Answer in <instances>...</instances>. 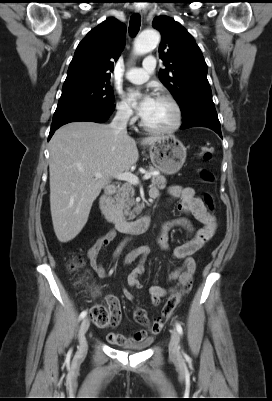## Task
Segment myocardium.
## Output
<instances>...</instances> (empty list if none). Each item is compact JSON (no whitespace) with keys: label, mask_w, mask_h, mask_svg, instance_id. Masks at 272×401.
<instances>
[{"label":"myocardium","mask_w":272,"mask_h":401,"mask_svg":"<svg viewBox=\"0 0 272 401\" xmlns=\"http://www.w3.org/2000/svg\"><path fill=\"white\" fill-rule=\"evenodd\" d=\"M156 98L159 99H163L168 101L171 106L173 107L174 110V120L172 122L171 125H169L168 127H164V128H155V127H151L149 125H147L143 119L141 118L140 120V127L148 132V133H152V134H169V133H173L176 130H178L180 128V126L182 125V120H183V112H182V108L179 104V102L177 101V99L172 96L171 94L168 93H159Z\"/></svg>","instance_id":"myocardium-1"}]
</instances>
